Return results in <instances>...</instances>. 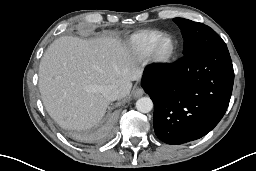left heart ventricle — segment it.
I'll return each mask as SVG.
<instances>
[{
    "mask_svg": "<svg viewBox=\"0 0 256 171\" xmlns=\"http://www.w3.org/2000/svg\"><path fill=\"white\" fill-rule=\"evenodd\" d=\"M171 48V42L169 40L165 41L161 47V52L163 54L167 53Z\"/></svg>",
    "mask_w": 256,
    "mask_h": 171,
    "instance_id": "left-heart-ventricle-1",
    "label": "left heart ventricle"
}]
</instances>
